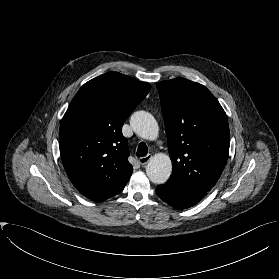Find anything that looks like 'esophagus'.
I'll list each match as a JSON object with an SVG mask.
<instances>
[{
    "mask_svg": "<svg viewBox=\"0 0 279 279\" xmlns=\"http://www.w3.org/2000/svg\"><path fill=\"white\" fill-rule=\"evenodd\" d=\"M151 158L152 155L148 154L147 156L140 157L138 161L141 165H146L151 160Z\"/></svg>",
    "mask_w": 279,
    "mask_h": 279,
    "instance_id": "34e87169",
    "label": "esophagus"
}]
</instances>
